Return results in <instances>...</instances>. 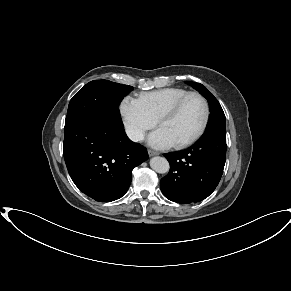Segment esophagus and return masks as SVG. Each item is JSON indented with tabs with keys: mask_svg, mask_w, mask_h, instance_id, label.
Segmentation results:
<instances>
[{
	"mask_svg": "<svg viewBox=\"0 0 291 291\" xmlns=\"http://www.w3.org/2000/svg\"><path fill=\"white\" fill-rule=\"evenodd\" d=\"M148 154L149 156H155V155H159V152L149 149Z\"/></svg>",
	"mask_w": 291,
	"mask_h": 291,
	"instance_id": "obj_1",
	"label": "esophagus"
}]
</instances>
